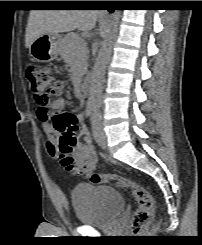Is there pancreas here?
I'll list each match as a JSON object with an SVG mask.
<instances>
[{"label": "pancreas", "instance_id": "obj_1", "mask_svg": "<svg viewBox=\"0 0 202 245\" xmlns=\"http://www.w3.org/2000/svg\"><path fill=\"white\" fill-rule=\"evenodd\" d=\"M60 55L64 61L83 76L87 66V53L84 40L76 33H70L64 37L60 44Z\"/></svg>", "mask_w": 202, "mask_h": 245}]
</instances>
